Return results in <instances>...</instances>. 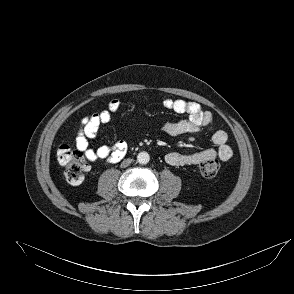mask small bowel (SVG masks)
Returning a JSON list of instances; mask_svg holds the SVG:
<instances>
[{"label": "small bowel", "mask_w": 294, "mask_h": 294, "mask_svg": "<svg viewBox=\"0 0 294 294\" xmlns=\"http://www.w3.org/2000/svg\"><path fill=\"white\" fill-rule=\"evenodd\" d=\"M162 103L168 110L187 115L185 119L163 123L161 129L166 134L179 136L198 133L203 130H213L214 120L212 114L204 111L198 103L169 97L164 98ZM120 105L119 100H111L106 109L95 112L82 119L81 127L76 136V147L84 154V157L88 161L95 162L102 160L104 164L110 165L124 158L127 151V143L123 140L116 142L112 147L103 145L97 149L91 148L89 144V139L97 136L101 125L110 122L112 116L119 111ZM227 140L228 136L225 131L216 130L212 133L214 148L191 154H182L173 151L166 155L165 160L171 166L198 165L207 158L217 157L222 161H227L233 154L231 147L227 144Z\"/></svg>", "instance_id": "1"}]
</instances>
